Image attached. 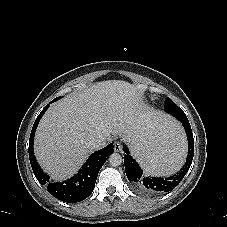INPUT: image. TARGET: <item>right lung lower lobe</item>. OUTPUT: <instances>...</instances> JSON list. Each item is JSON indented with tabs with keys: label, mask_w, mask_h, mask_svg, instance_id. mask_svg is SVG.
<instances>
[{
	"label": "right lung lower lobe",
	"mask_w": 227,
	"mask_h": 227,
	"mask_svg": "<svg viewBox=\"0 0 227 227\" xmlns=\"http://www.w3.org/2000/svg\"><path fill=\"white\" fill-rule=\"evenodd\" d=\"M52 102H54V100L50 103ZM48 107L49 104L46 105L38 115L31 131L29 140V159L32 170L40 184L47 186V190L51 195L63 202H80L92 193L99 170L106 159L114 152L113 144H109L105 148L93 153L73 178L62 183H51L50 177L39 167L33 151V140L37 125Z\"/></svg>",
	"instance_id": "right-lung-lower-lobe-1"
}]
</instances>
